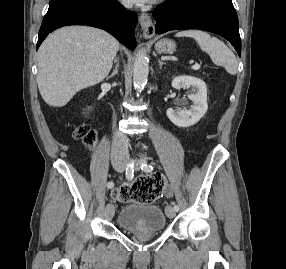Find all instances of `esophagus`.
Here are the masks:
<instances>
[{
    "mask_svg": "<svg viewBox=\"0 0 286 269\" xmlns=\"http://www.w3.org/2000/svg\"><path fill=\"white\" fill-rule=\"evenodd\" d=\"M139 23L143 31L144 38L149 39L154 36L155 26L151 17L147 13H142L139 16Z\"/></svg>",
    "mask_w": 286,
    "mask_h": 269,
    "instance_id": "1",
    "label": "esophagus"
}]
</instances>
